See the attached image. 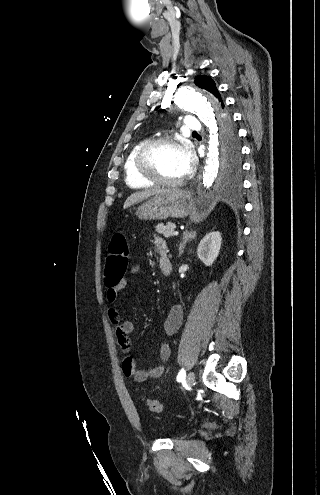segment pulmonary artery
<instances>
[{
  "label": "pulmonary artery",
  "mask_w": 320,
  "mask_h": 495,
  "mask_svg": "<svg viewBox=\"0 0 320 495\" xmlns=\"http://www.w3.org/2000/svg\"><path fill=\"white\" fill-rule=\"evenodd\" d=\"M184 127L188 131L197 132L201 129V124L195 117L187 116L184 120Z\"/></svg>",
  "instance_id": "pulmonary-artery-1"
}]
</instances>
